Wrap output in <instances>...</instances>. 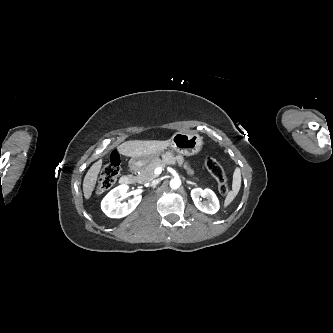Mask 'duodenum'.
Listing matches in <instances>:
<instances>
[{
    "label": "duodenum",
    "mask_w": 333,
    "mask_h": 333,
    "mask_svg": "<svg viewBox=\"0 0 333 333\" xmlns=\"http://www.w3.org/2000/svg\"><path fill=\"white\" fill-rule=\"evenodd\" d=\"M134 180V176L133 175H124L120 178V183L121 184H130L132 183Z\"/></svg>",
    "instance_id": "410a0bca"
}]
</instances>
